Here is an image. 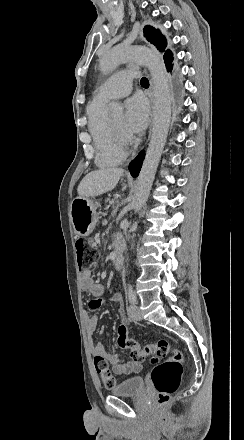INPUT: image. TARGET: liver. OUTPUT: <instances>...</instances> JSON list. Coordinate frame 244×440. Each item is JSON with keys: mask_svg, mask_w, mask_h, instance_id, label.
<instances>
[{"mask_svg": "<svg viewBox=\"0 0 244 440\" xmlns=\"http://www.w3.org/2000/svg\"><path fill=\"white\" fill-rule=\"evenodd\" d=\"M123 172L122 168H100L95 172H89L77 188L78 196L95 198L105 192H111L117 186Z\"/></svg>", "mask_w": 244, "mask_h": 440, "instance_id": "liver-1", "label": "liver"}]
</instances>
